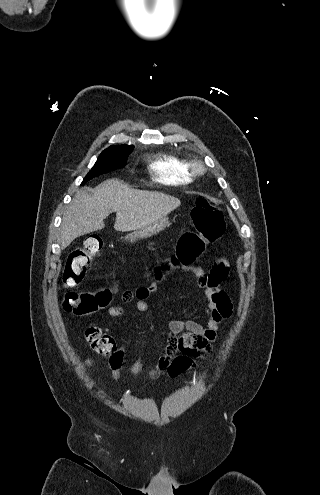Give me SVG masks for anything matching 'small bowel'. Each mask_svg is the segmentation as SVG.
<instances>
[{
  "label": "small bowel",
  "instance_id": "1",
  "mask_svg": "<svg viewBox=\"0 0 320 495\" xmlns=\"http://www.w3.org/2000/svg\"><path fill=\"white\" fill-rule=\"evenodd\" d=\"M182 270L193 274L198 279L199 286L204 289L207 325L203 326L194 320L167 322L159 331V336L166 338L165 354L160 357L156 368L146 371L151 377H157L161 373L176 377L190 371L198 359L212 351L219 326L232 314L230 299L217 287L228 274V262L225 258L218 257L209 274L200 267L183 266ZM157 289V284L152 282L147 286L139 287L135 293L129 290L123 292L122 300L131 303L136 297L135 308L140 312H147L149 305L146 300ZM107 313L111 317H120L124 311L120 306H112ZM117 358L118 363H111L112 375L116 381L120 377L121 352L117 353ZM143 370V359L138 357L132 364L130 372L132 375H138Z\"/></svg>",
  "mask_w": 320,
  "mask_h": 495
}]
</instances>
